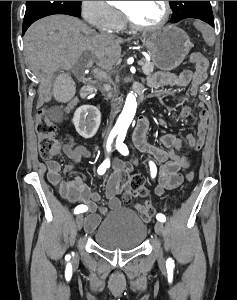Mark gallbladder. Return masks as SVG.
Here are the masks:
<instances>
[{
    "label": "gallbladder",
    "mask_w": 237,
    "mask_h": 300,
    "mask_svg": "<svg viewBox=\"0 0 237 300\" xmlns=\"http://www.w3.org/2000/svg\"><path fill=\"white\" fill-rule=\"evenodd\" d=\"M57 82L55 83V101H60L61 105H66L67 101H72V94H75V82L69 72H58Z\"/></svg>",
    "instance_id": "obj_1"
}]
</instances>
